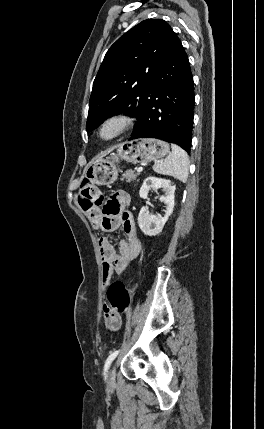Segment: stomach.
Wrapping results in <instances>:
<instances>
[{"mask_svg":"<svg viewBox=\"0 0 264 429\" xmlns=\"http://www.w3.org/2000/svg\"><path fill=\"white\" fill-rule=\"evenodd\" d=\"M170 151L169 144L154 138H141L127 141L117 146L116 153L106 158L94 159L85 170V177L97 185H109L118 177L116 163L151 162L160 160Z\"/></svg>","mask_w":264,"mask_h":429,"instance_id":"obj_1","label":"stomach"}]
</instances>
